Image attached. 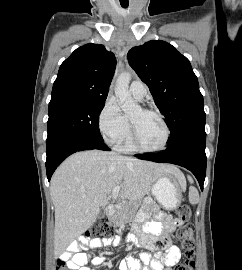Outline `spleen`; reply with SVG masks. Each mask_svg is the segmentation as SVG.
<instances>
[{
    "label": "spleen",
    "instance_id": "obj_1",
    "mask_svg": "<svg viewBox=\"0 0 242 270\" xmlns=\"http://www.w3.org/2000/svg\"><path fill=\"white\" fill-rule=\"evenodd\" d=\"M189 201L191 204H197L199 202V193L195 187L189 188Z\"/></svg>",
    "mask_w": 242,
    "mask_h": 270
}]
</instances>
